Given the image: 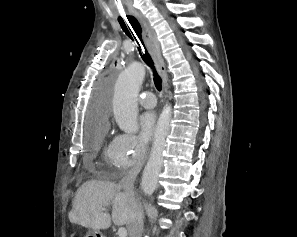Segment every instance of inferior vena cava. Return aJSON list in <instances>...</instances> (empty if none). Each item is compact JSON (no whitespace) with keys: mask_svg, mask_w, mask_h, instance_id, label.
I'll return each instance as SVG.
<instances>
[{"mask_svg":"<svg viewBox=\"0 0 297 237\" xmlns=\"http://www.w3.org/2000/svg\"><path fill=\"white\" fill-rule=\"evenodd\" d=\"M139 173V168L129 170L121 179L118 186L124 190L129 202V219L127 229L129 237H142L144 211L140 201L135 198L134 182Z\"/></svg>","mask_w":297,"mask_h":237,"instance_id":"602c4592","label":"inferior vena cava"}]
</instances>
